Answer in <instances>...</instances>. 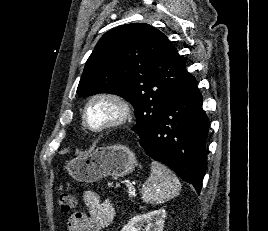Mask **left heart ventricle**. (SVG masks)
Listing matches in <instances>:
<instances>
[{"instance_id": "b2bd125f", "label": "left heart ventricle", "mask_w": 268, "mask_h": 231, "mask_svg": "<svg viewBox=\"0 0 268 231\" xmlns=\"http://www.w3.org/2000/svg\"><path fill=\"white\" fill-rule=\"evenodd\" d=\"M117 115V107L110 101H96L88 109V121L93 126L102 125Z\"/></svg>"}]
</instances>
